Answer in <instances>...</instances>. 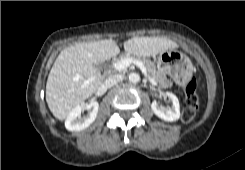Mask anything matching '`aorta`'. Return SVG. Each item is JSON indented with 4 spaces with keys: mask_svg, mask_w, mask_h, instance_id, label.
I'll list each match as a JSON object with an SVG mask.
<instances>
[{
    "mask_svg": "<svg viewBox=\"0 0 245 170\" xmlns=\"http://www.w3.org/2000/svg\"><path fill=\"white\" fill-rule=\"evenodd\" d=\"M128 79L132 83H138L140 81V76L138 73L133 72L128 75Z\"/></svg>",
    "mask_w": 245,
    "mask_h": 170,
    "instance_id": "762f6f07",
    "label": "aorta"
}]
</instances>
